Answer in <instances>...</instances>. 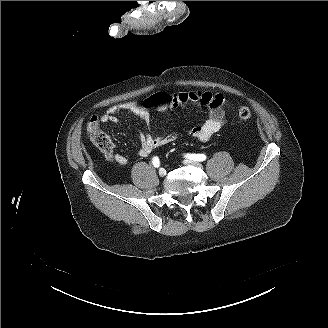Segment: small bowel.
<instances>
[{
    "label": "small bowel",
    "mask_w": 328,
    "mask_h": 328,
    "mask_svg": "<svg viewBox=\"0 0 328 328\" xmlns=\"http://www.w3.org/2000/svg\"><path fill=\"white\" fill-rule=\"evenodd\" d=\"M173 108L183 107L187 104H196L208 109V118L201 124L193 126L187 134L201 142L208 141L215 133L221 130L227 121V112L224 109L226 100L222 94H212L210 92L193 91L173 94ZM161 109L160 113H164ZM121 112H130L139 117L146 126V131L140 132L141 146L138 154L141 157L149 156L155 149L164 146L179 136V132L172 131L163 135H153L151 133L154 117L148 108L138 102L126 101L110 106L100 117L102 123L115 124L118 121L117 115ZM104 155L117 165H126L128 159L122 154L104 153Z\"/></svg>",
    "instance_id": "1"
}]
</instances>
